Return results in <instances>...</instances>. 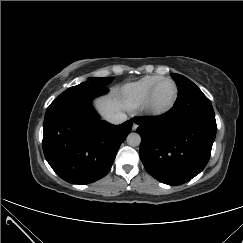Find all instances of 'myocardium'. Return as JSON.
Wrapping results in <instances>:
<instances>
[{
    "instance_id": "myocardium-1",
    "label": "myocardium",
    "mask_w": 243,
    "mask_h": 243,
    "mask_svg": "<svg viewBox=\"0 0 243 243\" xmlns=\"http://www.w3.org/2000/svg\"><path fill=\"white\" fill-rule=\"evenodd\" d=\"M166 82H171L174 85V88H175L174 97L168 105H166L164 107H156L153 103L155 93L158 90V88ZM178 96H179V89H178L176 82L171 78H164V79L160 80L158 83H156L154 85V87L151 89L145 103L143 104L144 109L148 114H150L152 116H162V115L168 113L174 107V105L177 102Z\"/></svg>"
}]
</instances>
